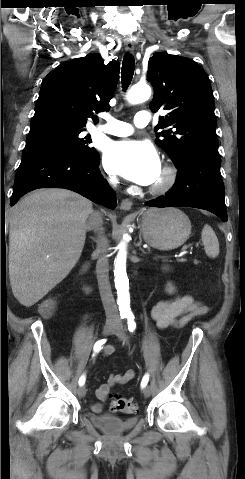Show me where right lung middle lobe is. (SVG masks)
Returning <instances> with one entry per match:
<instances>
[{
  "label": "right lung middle lobe",
  "instance_id": "obj_1",
  "mask_svg": "<svg viewBox=\"0 0 245 479\" xmlns=\"http://www.w3.org/2000/svg\"><path fill=\"white\" fill-rule=\"evenodd\" d=\"M85 129H74L64 125H46L30 128L23 157L46 150L62 149L98 159L99 153L88 146L89 136L82 138Z\"/></svg>",
  "mask_w": 245,
  "mask_h": 479
}]
</instances>
